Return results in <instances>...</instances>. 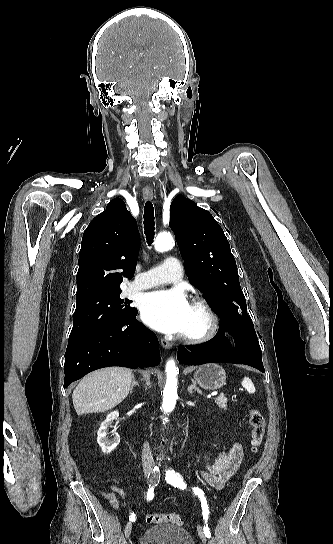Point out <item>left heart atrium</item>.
<instances>
[{
	"label": "left heart atrium",
	"mask_w": 333,
	"mask_h": 544,
	"mask_svg": "<svg viewBox=\"0 0 333 544\" xmlns=\"http://www.w3.org/2000/svg\"><path fill=\"white\" fill-rule=\"evenodd\" d=\"M142 320L163 333H183L191 305L180 289L157 290L144 296L141 302Z\"/></svg>",
	"instance_id": "39dd6f15"
}]
</instances>
